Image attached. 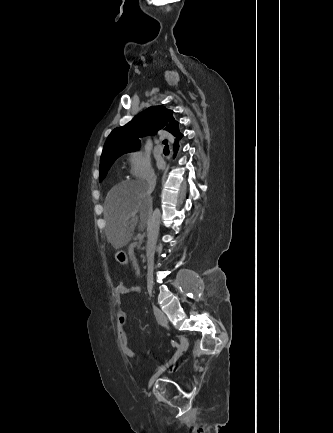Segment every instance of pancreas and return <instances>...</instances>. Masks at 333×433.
<instances>
[{"instance_id": "cf45deb5", "label": "pancreas", "mask_w": 333, "mask_h": 433, "mask_svg": "<svg viewBox=\"0 0 333 433\" xmlns=\"http://www.w3.org/2000/svg\"><path fill=\"white\" fill-rule=\"evenodd\" d=\"M136 246H137V243L135 242L134 244H132V245L129 247V256H130V259H131L133 265L137 267L136 258H135V256H134V252H133V249H134Z\"/></svg>"}]
</instances>
